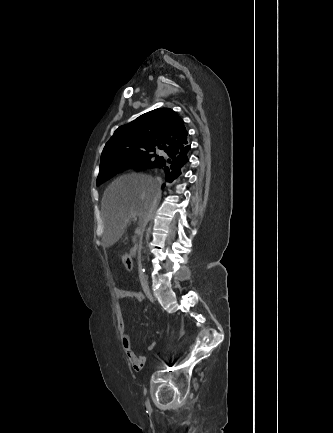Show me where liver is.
<instances>
[{"label":"liver","instance_id":"1","mask_svg":"<svg viewBox=\"0 0 333 433\" xmlns=\"http://www.w3.org/2000/svg\"><path fill=\"white\" fill-rule=\"evenodd\" d=\"M160 196L156 180L148 175L128 174L114 180L104 191L101 202L103 248H110L123 236L132 213L138 217V228L143 230L144 218L152 215Z\"/></svg>","mask_w":333,"mask_h":433}]
</instances>
